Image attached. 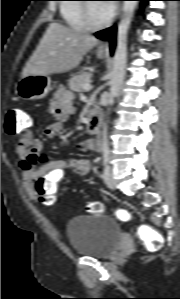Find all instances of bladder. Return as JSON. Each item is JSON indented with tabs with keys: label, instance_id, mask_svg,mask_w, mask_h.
I'll list each match as a JSON object with an SVG mask.
<instances>
[{
	"label": "bladder",
	"instance_id": "obj_1",
	"mask_svg": "<svg viewBox=\"0 0 180 299\" xmlns=\"http://www.w3.org/2000/svg\"><path fill=\"white\" fill-rule=\"evenodd\" d=\"M67 239L75 253L108 258L121 243V228L111 216L78 215L65 226Z\"/></svg>",
	"mask_w": 180,
	"mask_h": 299
}]
</instances>
